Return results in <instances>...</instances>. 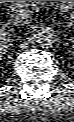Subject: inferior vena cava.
<instances>
[{"label": "inferior vena cava", "mask_w": 74, "mask_h": 122, "mask_svg": "<svg viewBox=\"0 0 74 122\" xmlns=\"http://www.w3.org/2000/svg\"><path fill=\"white\" fill-rule=\"evenodd\" d=\"M14 25H29L32 22L31 14L25 9H18L11 15Z\"/></svg>", "instance_id": "1"}]
</instances>
